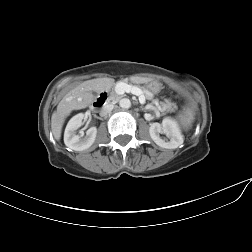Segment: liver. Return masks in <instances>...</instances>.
<instances>
[{"label": "liver", "instance_id": "6515ba94", "mask_svg": "<svg viewBox=\"0 0 252 252\" xmlns=\"http://www.w3.org/2000/svg\"><path fill=\"white\" fill-rule=\"evenodd\" d=\"M133 82L144 83L145 78H132ZM114 83L112 78H99L88 80L72 89L58 104L57 110L51 117V129L56 140H60L65 118L73 111L82 109L94 101L92 91L102 92L109 90Z\"/></svg>", "mask_w": 252, "mask_h": 252}]
</instances>
